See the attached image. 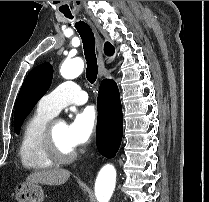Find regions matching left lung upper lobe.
<instances>
[{
	"instance_id": "left-lung-upper-lobe-1",
	"label": "left lung upper lobe",
	"mask_w": 209,
	"mask_h": 202,
	"mask_svg": "<svg viewBox=\"0 0 209 202\" xmlns=\"http://www.w3.org/2000/svg\"><path fill=\"white\" fill-rule=\"evenodd\" d=\"M52 77L53 67L50 63L36 66L27 75L19 91L15 107L14 129L17 134L25 118L49 89Z\"/></svg>"
}]
</instances>
